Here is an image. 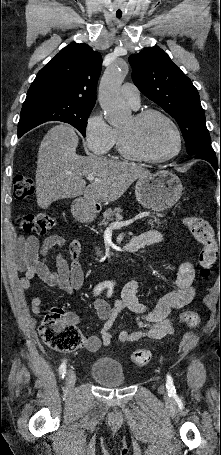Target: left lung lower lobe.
<instances>
[{"mask_svg": "<svg viewBox=\"0 0 221 455\" xmlns=\"http://www.w3.org/2000/svg\"><path fill=\"white\" fill-rule=\"evenodd\" d=\"M194 157L197 159H203V160L208 161L216 171L219 170V168H220V172H221V158H220V163H219V160L217 159L215 154L197 153L194 155Z\"/></svg>", "mask_w": 221, "mask_h": 455, "instance_id": "1", "label": "left lung lower lobe"}]
</instances>
